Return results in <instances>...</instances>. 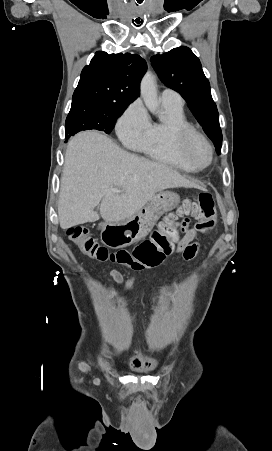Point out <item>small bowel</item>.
<instances>
[{"instance_id":"small-bowel-1","label":"small bowel","mask_w":272,"mask_h":451,"mask_svg":"<svg viewBox=\"0 0 272 451\" xmlns=\"http://www.w3.org/2000/svg\"><path fill=\"white\" fill-rule=\"evenodd\" d=\"M180 230L182 232V238L177 243L175 252L180 254L186 261L193 260L200 248L199 243L195 241L197 232L194 228L189 227V220L187 218L182 221ZM105 268L121 292H128L132 288L137 274L124 278L119 270L112 268L110 265H105Z\"/></svg>"}]
</instances>
